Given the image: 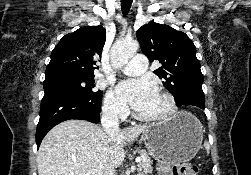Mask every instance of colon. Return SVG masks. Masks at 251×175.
<instances>
[{
    "label": "colon",
    "instance_id": "5ec220e1",
    "mask_svg": "<svg viewBox=\"0 0 251 175\" xmlns=\"http://www.w3.org/2000/svg\"><path fill=\"white\" fill-rule=\"evenodd\" d=\"M159 175H197L198 167L189 162H163L158 164Z\"/></svg>",
    "mask_w": 251,
    "mask_h": 175
}]
</instances>
